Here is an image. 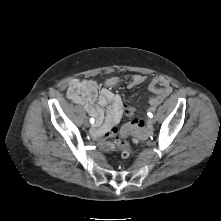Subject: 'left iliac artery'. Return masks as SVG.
I'll use <instances>...</instances> for the list:
<instances>
[{
    "label": "left iliac artery",
    "instance_id": "left-iliac-artery-1",
    "mask_svg": "<svg viewBox=\"0 0 221 221\" xmlns=\"http://www.w3.org/2000/svg\"><path fill=\"white\" fill-rule=\"evenodd\" d=\"M154 110H155V109L153 108V111H154ZM148 116L153 117V114H152V113H149Z\"/></svg>",
    "mask_w": 221,
    "mask_h": 221
}]
</instances>
